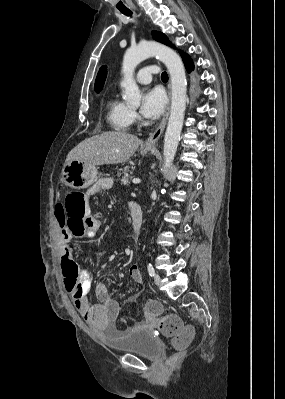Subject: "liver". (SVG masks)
Instances as JSON below:
<instances>
[{"label":"liver","mask_w":285,"mask_h":399,"mask_svg":"<svg viewBox=\"0 0 285 399\" xmlns=\"http://www.w3.org/2000/svg\"><path fill=\"white\" fill-rule=\"evenodd\" d=\"M141 140L124 131H107L87 138L74 147L66 157L92 165L126 162L138 149Z\"/></svg>","instance_id":"liver-1"}]
</instances>
